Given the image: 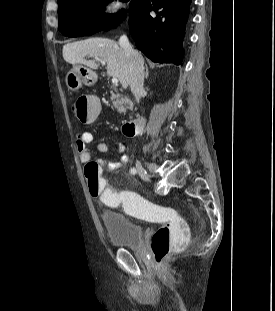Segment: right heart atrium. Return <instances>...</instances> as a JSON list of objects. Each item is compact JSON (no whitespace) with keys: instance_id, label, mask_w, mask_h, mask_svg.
I'll return each instance as SVG.
<instances>
[{"instance_id":"right-heart-atrium-1","label":"right heart atrium","mask_w":275,"mask_h":311,"mask_svg":"<svg viewBox=\"0 0 275 311\" xmlns=\"http://www.w3.org/2000/svg\"><path fill=\"white\" fill-rule=\"evenodd\" d=\"M125 8L124 0H106L102 8V16L108 20L116 19Z\"/></svg>"}]
</instances>
